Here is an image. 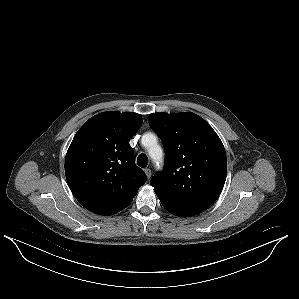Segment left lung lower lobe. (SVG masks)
<instances>
[{"mask_svg": "<svg viewBox=\"0 0 299 299\" xmlns=\"http://www.w3.org/2000/svg\"><path fill=\"white\" fill-rule=\"evenodd\" d=\"M163 207L169 211L170 213L179 216V217H190L197 215L201 212H203L206 209H201V208H188V207H176L172 206L170 204L162 202Z\"/></svg>", "mask_w": 299, "mask_h": 299, "instance_id": "left-lung-lower-lobe-1", "label": "left lung lower lobe"}]
</instances>
